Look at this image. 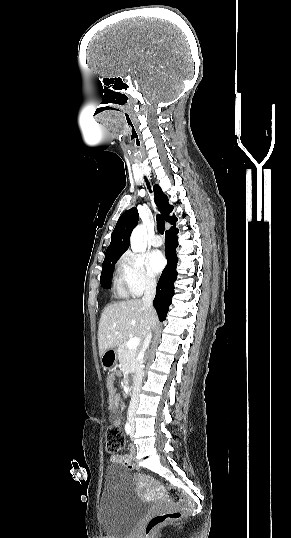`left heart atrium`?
I'll list each match as a JSON object with an SVG mask.
<instances>
[{
  "mask_svg": "<svg viewBox=\"0 0 291 538\" xmlns=\"http://www.w3.org/2000/svg\"><path fill=\"white\" fill-rule=\"evenodd\" d=\"M165 265V259L160 252H153L148 259V270L150 274L157 275Z\"/></svg>",
  "mask_w": 291,
  "mask_h": 538,
  "instance_id": "left-heart-atrium-1",
  "label": "left heart atrium"
}]
</instances>
